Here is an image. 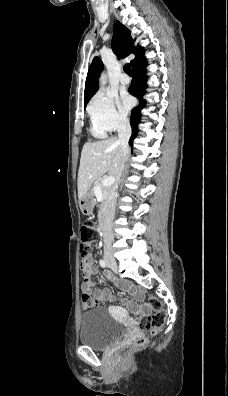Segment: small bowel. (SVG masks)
Listing matches in <instances>:
<instances>
[{
  "mask_svg": "<svg viewBox=\"0 0 228 396\" xmlns=\"http://www.w3.org/2000/svg\"><path fill=\"white\" fill-rule=\"evenodd\" d=\"M81 270L83 275V283L81 284V290L84 294L92 295L95 299L102 302H113L115 300V296L112 291L108 288L104 289H94V283L91 280V275L98 272V269L94 266L92 256H89L87 259L81 261ZM105 276L114 280V278L105 274ZM121 288L128 291L134 300H126L122 299V303L134 314H147L150 311V307L147 303L142 301V295L138 292L135 287L129 282H119L118 283Z\"/></svg>",
  "mask_w": 228,
  "mask_h": 396,
  "instance_id": "1",
  "label": "small bowel"
}]
</instances>
